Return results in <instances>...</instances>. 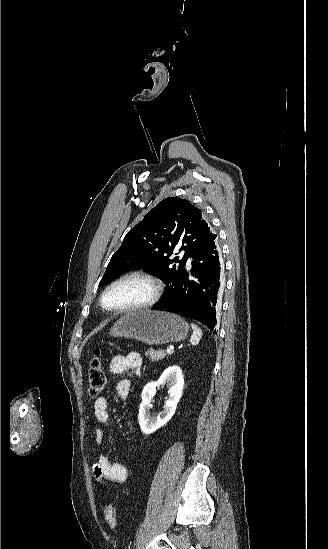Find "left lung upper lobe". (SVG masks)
Listing matches in <instances>:
<instances>
[{
    "instance_id": "left-lung-upper-lobe-1",
    "label": "left lung upper lobe",
    "mask_w": 328,
    "mask_h": 549,
    "mask_svg": "<svg viewBox=\"0 0 328 549\" xmlns=\"http://www.w3.org/2000/svg\"><path fill=\"white\" fill-rule=\"evenodd\" d=\"M216 237L200 209L185 199L166 198L126 234L99 285H106L132 269H142L166 284L164 296H167L185 272L188 258ZM178 247L179 251L185 250L183 257L172 256Z\"/></svg>"
}]
</instances>
